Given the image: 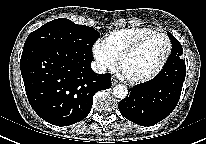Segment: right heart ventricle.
<instances>
[{
	"mask_svg": "<svg viewBox=\"0 0 206 144\" xmlns=\"http://www.w3.org/2000/svg\"><path fill=\"white\" fill-rule=\"evenodd\" d=\"M154 32H156L154 29L146 27L125 28L109 33L103 41L108 50L118 60L129 46Z\"/></svg>",
	"mask_w": 206,
	"mask_h": 144,
	"instance_id": "right-heart-ventricle-1",
	"label": "right heart ventricle"
}]
</instances>
